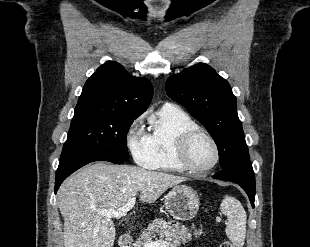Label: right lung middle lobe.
<instances>
[{
	"instance_id": "dd1d6c3e",
	"label": "right lung middle lobe",
	"mask_w": 310,
	"mask_h": 247,
	"mask_svg": "<svg viewBox=\"0 0 310 247\" xmlns=\"http://www.w3.org/2000/svg\"><path fill=\"white\" fill-rule=\"evenodd\" d=\"M137 117L114 112H75L60 161L84 155L127 161V133Z\"/></svg>"
}]
</instances>
